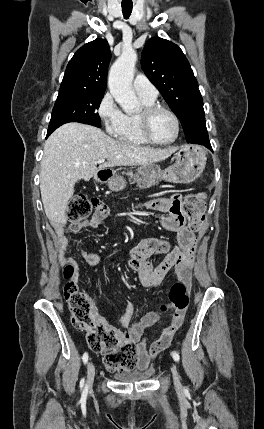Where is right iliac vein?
I'll return each instance as SVG.
<instances>
[{"instance_id": "right-iliac-vein-1", "label": "right iliac vein", "mask_w": 264, "mask_h": 429, "mask_svg": "<svg viewBox=\"0 0 264 429\" xmlns=\"http://www.w3.org/2000/svg\"><path fill=\"white\" fill-rule=\"evenodd\" d=\"M95 376V366L90 361L87 365V384L90 386L93 383Z\"/></svg>"}]
</instances>
